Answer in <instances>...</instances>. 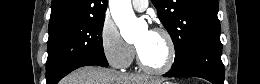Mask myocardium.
I'll return each instance as SVG.
<instances>
[{
    "label": "myocardium",
    "mask_w": 260,
    "mask_h": 84,
    "mask_svg": "<svg viewBox=\"0 0 260 84\" xmlns=\"http://www.w3.org/2000/svg\"><path fill=\"white\" fill-rule=\"evenodd\" d=\"M151 32L160 34L165 39L167 46H168L167 60L162 67H159V68L150 67L143 61L141 53H140L138 47L136 46L135 51H136L137 63H138V66L140 67V69L146 73L153 74V75H163V74L169 72L174 66V63L176 60L175 41H174L171 33L163 27H156V28L152 29Z\"/></svg>",
    "instance_id": "1"
}]
</instances>
